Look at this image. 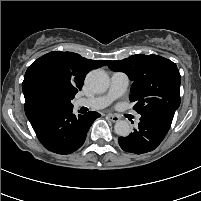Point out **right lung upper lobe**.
Returning a JSON list of instances; mask_svg holds the SVG:
<instances>
[{"mask_svg":"<svg viewBox=\"0 0 201 201\" xmlns=\"http://www.w3.org/2000/svg\"><path fill=\"white\" fill-rule=\"evenodd\" d=\"M106 63L70 52L53 51L43 55L25 73L22 83L25 106L37 101L71 105L87 73Z\"/></svg>","mask_w":201,"mask_h":201,"instance_id":"cb5924a9","label":"right lung upper lobe"}]
</instances>
